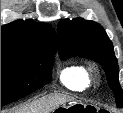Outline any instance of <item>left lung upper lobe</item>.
Returning <instances> with one entry per match:
<instances>
[{"mask_svg": "<svg viewBox=\"0 0 123 113\" xmlns=\"http://www.w3.org/2000/svg\"><path fill=\"white\" fill-rule=\"evenodd\" d=\"M58 53L62 60L79 56L102 65L116 104L122 106L123 91L118 82L119 68L113 44L98 23L82 18L61 21L58 25Z\"/></svg>", "mask_w": 123, "mask_h": 113, "instance_id": "1", "label": "left lung upper lobe"}]
</instances>
